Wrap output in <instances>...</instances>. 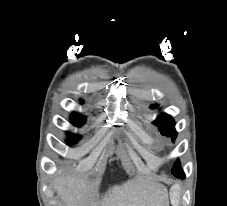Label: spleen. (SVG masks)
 <instances>
[{
  "label": "spleen",
  "instance_id": "spleen-1",
  "mask_svg": "<svg viewBox=\"0 0 227 206\" xmlns=\"http://www.w3.org/2000/svg\"><path fill=\"white\" fill-rule=\"evenodd\" d=\"M171 195H172L173 198H177L178 197V192L172 190V194Z\"/></svg>",
  "mask_w": 227,
  "mask_h": 206
}]
</instances>
